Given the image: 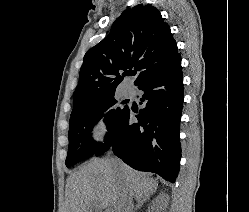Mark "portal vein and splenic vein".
Wrapping results in <instances>:
<instances>
[{
  "label": "portal vein and splenic vein",
  "instance_id": "portal-vein-and-splenic-vein-1",
  "mask_svg": "<svg viewBox=\"0 0 249 212\" xmlns=\"http://www.w3.org/2000/svg\"><path fill=\"white\" fill-rule=\"evenodd\" d=\"M94 208H98V210H99V208H101V206H100V204H97V202H95ZM106 212H110V210H106ZM111 212H112V210H111Z\"/></svg>",
  "mask_w": 249,
  "mask_h": 212
}]
</instances>
